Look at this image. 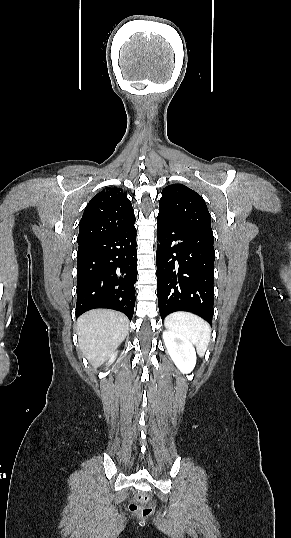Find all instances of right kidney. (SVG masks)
Listing matches in <instances>:
<instances>
[{
    "mask_svg": "<svg viewBox=\"0 0 291 538\" xmlns=\"http://www.w3.org/2000/svg\"><path fill=\"white\" fill-rule=\"evenodd\" d=\"M114 358H115V354H112L110 360H109V363H112L114 361Z\"/></svg>",
    "mask_w": 291,
    "mask_h": 538,
    "instance_id": "1",
    "label": "right kidney"
}]
</instances>
